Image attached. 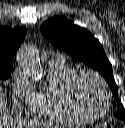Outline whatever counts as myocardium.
<instances>
[{"label": "myocardium", "mask_w": 125, "mask_h": 128, "mask_svg": "<svg viewBox=\"0 0 125 128\" xmlns=\"http://www.w3.org/2000/svg\"><path fill=\"white\" fill-rule=\"evenodd\" d=\"M84 77H89V78L93 79L99 85L100 89L102 90V92L105 95V98H106L105 106L100 113L93 114V113L86 111L80 105V103L77 99L75 89H76L78 82ZM64 91H65V96H66V99H67L70 107L73 109V111L76 114L80 115L86 121L98 120V119L104 117L110 109L112 95L108 88V85L105 82V80L98 73H96L92 70H77V71H75L67 80L65 87H64Z\"/></svg>", "instance_id": "1"}]
</instances>
